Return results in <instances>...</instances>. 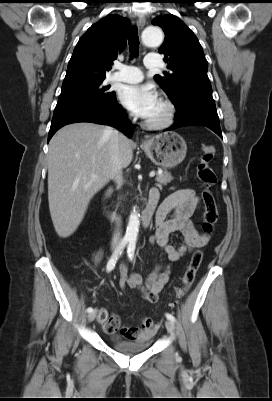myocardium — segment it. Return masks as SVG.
Segmentation results:
<instances>
[{
	"instance_id": "1",
	"label": "myocardium",
	"mask_w": 272,
	"mask_h": 401,
	"mask_svg": "<svg viewBox=\"0 0 272 401\" xmlns=\"http://www.w3.org/2000/svg\"><path fill=\"white\" fill-rule=\"evenodd\" d=\"M159 103L164 108V114L157 120H145L143 125L151 130H163L172 126L176 120L177 110L175 104L166 97H161Z\"/></svg>"
}]
</instances>
